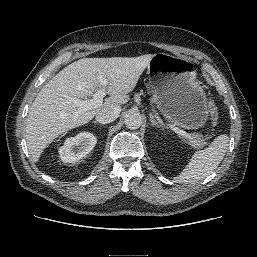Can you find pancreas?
I'll return each instance as SVG.
<instances>
[{
	"label": "pancreas",
	"mask_w": 257,
	"mask_h": 257,
	"mask_svg": "<svg viewBox=\"0 0 257 257\" xmlns=\"http://www.w3.org/2000/svg\"><path fill=\"white\" fill-rule=\"evenodd\" d=\"M152 102H155V100L152 99ZM188 143L195 149H200L207 144L206 138L198 133H192Z\"/></svg>",
	"instance_id": "cf45deb5"
}]
</instances>
